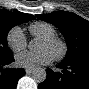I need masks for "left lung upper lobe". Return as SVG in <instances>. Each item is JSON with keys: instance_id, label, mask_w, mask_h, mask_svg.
I'll list each match as a JSON object with an SVG mask.
<instances>
[{"instance_id": "left-lung-upper-lobe-1", "label": "left lung upper lobe", "mask_w": 89, "mask_h": 89, "mask_svg": "<svg viewBox=\"0 0 89 89\" xmlns=\"http://www.w3.org/2000/svg\"><path fill=\"white\" fill-rule=\"evenodd\" d=\"M36 17L54 24L63 34L68 50L62 62L67 63L81 57H89V22L87 20L65 11L36 15Z\"/></svg>"}]
</instances>
